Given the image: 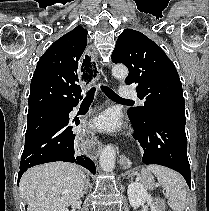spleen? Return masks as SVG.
I'll use <instances>...</instances> for the list:
<instances>
[{
    "label": "spleen",
    "mask_w": 209,
    "mask_h": 211,
    "mask_svg": "<svg viewBox=\"0 0 209 211\" xmlns=\"http://www.w3.org/2000/svg\"><path fill=\"white\" fill-rule=\"evenodd\" d=\"M158 180L168 195V205L174 211H183L186 207V184L184 179L177 172L158 165H151L147 168Z\"/></svg>",
    "instance_id": "3e777b00"
}]
</instances>
